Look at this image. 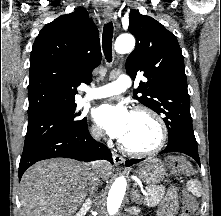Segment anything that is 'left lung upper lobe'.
Returning a JSON list of instances; mask_svg holds the SVG:
<instances>
[{
  "label": "left lung upper lobe",
  "mask_w": 221,
  "mask_h": 216,
  "mask_svg": "<svg viewBox=\"0 0 221 216\" xmlns=\"http://www.w3.org/2000/svg\"><path fill=\"white\" fill-rule=\"evenodd\" d=\"M128 29L137 44L126 60V72L133 79L141 74L147 79L134 91L142 94L138 101L163 116L168 145L197 147L184 60L176 37L155 19L134 10L129 14Z\"/></svg>",
  "instance_id": "1"
}]
</instances>
